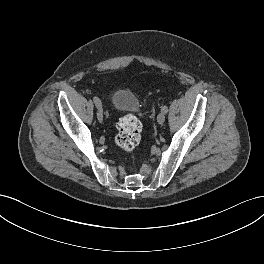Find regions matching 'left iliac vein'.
Listing matches in <instances>:
<instances>
[{
  "instance_id": "1",
  "label": "left iliac vein",
  "mask_w": 264,
  "mask_h": 264,
  "mask_svg": "<svg viewBox=\"0 0 264 264\" xmlns=\"http://www.w3.org/2000/svg\"><path fill=\"white\" fill-rule=\"evenodd\" d=\"M165 121V113L160 112L157 116V122L158 124H163Z\"/></svg>"
}]
</instances>
